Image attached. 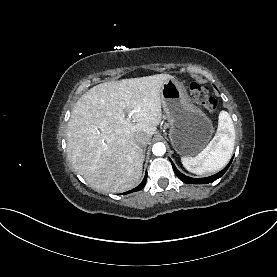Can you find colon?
<instances>
[{"instance_id":"colon-1","label":"colon","mask_w":277,"mask_h":277,"mask_svg":"<svg viewBox=\"0 0 277 277\" xmlns=\"http://www.w3.org/2000/svg\"><path fill=\"white\" fill-rule=\"evenodd\" d=\"M189 92L191 100L204 107L208 111H214L217 106L215 98L209 95L206 87L198 82H191L189 85Z\"/></svg>"}]
</instances>
